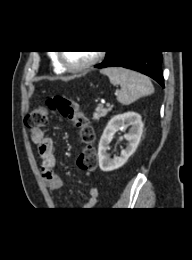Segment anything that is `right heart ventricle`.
<instances>
[{"instance_id": "1", "label": "right heart ventricle", "mask_w": 192, "mask_h": 260, "mask_svg": "<svg viewBox=\"0 0 192 260\" xmlns=\"http://www.w3.org/2000/svg\"><path fill=\"white\" fill-rule=\"evenodd\" d=\"M51 61H52V66L55 72L57 73H61L64 71L63 67L60 65L58 58L56 55H53L51 57Z\"/></svg>"}]
</instances>
